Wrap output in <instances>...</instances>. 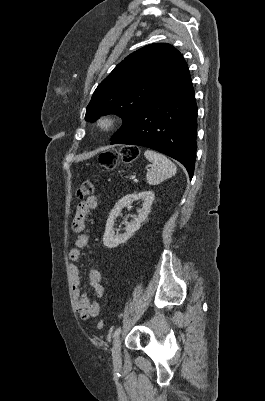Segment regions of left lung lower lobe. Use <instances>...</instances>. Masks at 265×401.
Listing matches in <instances>:
<instances>
[{"mask_svg": "<svg viewBox=\"0 0 265 401\" xmlns=\"http://www.w3.org/2000/svg\"><path fill=\"white\" fill-rule=\"evenodd\" d=\"M197 105L188 67L111 144L139 145L181 162L192 178L196 157Z\"/></svg>", "mask_w": 265, "mask_h": 401, "instance_id": "obj_1", "label": "left lung lower lobe"}]
</instances>
